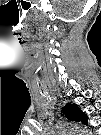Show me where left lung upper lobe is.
<instances>
[{"label": "left lung upper lobe", "mask_w": 101, "mask_h": 135, "mask_svg": "<svg viewBox=\"0 0 101 135\" xmlns=\"http://www.w3.org/2000/svg\"><path fill=\"white\" fill-rule=\"evenodd\" d=\"M63 111L69 120L87 123L86 115L75 104H66Z\"/></svg>", "instance_id": "1"}]
</instances>
